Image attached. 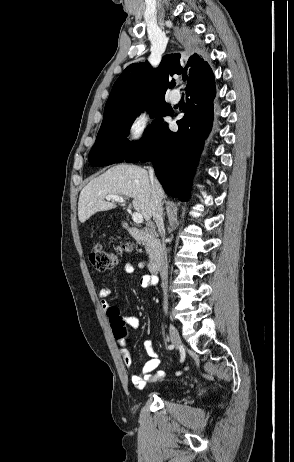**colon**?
Here are the masks:
<instances>
[{"label": "colon", "mask_w": 294, "mask_h": 462, "mask_svg": "<svg viewBox=\"0 0 294 462\" xmlns=\"http://www.w3.org/2000/svg\"><path fill=\"white\" fill-rule=\"evenodd\" d=\"M122 249L128 251L130 249V246L128 244H124L122 246ZM90 261L96 270L107 271L114 268L117 264V255L115 252H112L104 248L102 244L96 243L91 248ZM107 315L110 319V323L114 334L116 336L125 338V322L119 310L116 307L112 306L107 310Z\"/></svg>", "instance_id": "1"}]
</instances>
